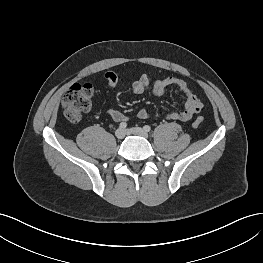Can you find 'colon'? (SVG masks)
<instances>
[{
  "label": "colon",
  "mask_w": 263,
  "mask_h": 263,
  "mask_svg": "<svg viewBox=\"0 0 263 263\" xmlns=\"http://www.w3.org/2000/svg\"><path fill=\"white\" fill-rule=\"evenodd\" d=\"M92 86L90 84H75L63 96L62 107L66 119L72 123L79 122L89 110L92 99ZM202 123V119L193 122L195 127Z\"/></svg>",
  "instance_id": "colon-1"
}]
</instances>
